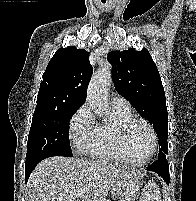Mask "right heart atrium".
I'll return each mask as SVG.
<instances>
[{"label":"right heart atrium","mask_w":196,"mask_h":201,"mask_svg":"<svg viewBox=\"0 0 196 201\" xmlns=\"http://www.w3.org/2000/svg\"><path fill=\"white\" fill-rule=\"evenodd\" d=\"M97 135V122L88 104L80 106L69 121V137L74 152L87 154Z\"/></svg>","instance_id":"1"}]
</instances>
